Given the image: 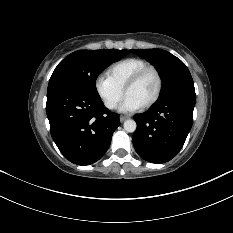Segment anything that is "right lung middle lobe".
<instances>
[{
	"mask_svg": "<svg viewBox=\"0 0 233 233\" xmlns=\"http://www.w3.org/2000/svg\"><path fill=\"white\" fill-rule=\"evenodd\" d=\"M129 53L128 50H78L63 59L55 68L48 91L57 88L75 89L99 97L96 78L108 65Z\"/></svg>",
	"mask_w": 233,
	"mask_h": 233,
	"instance_id": "dd1d6c3e",
	"label": "right lung middle lobe"
}]
</instances>
